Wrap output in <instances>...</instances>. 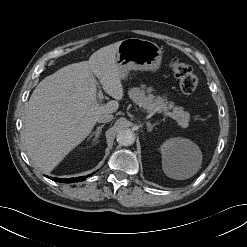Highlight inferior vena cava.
I'll return each instance as SVG.
<instances>
[{
  "mask_svg": "<svg viewBox=\"0 0 247 247\" xmlns=\"http://www.w3.org/2000/svg\"><path fill=\"white\" fill-rule=\"evenodd\" d=\"M112 119H113V115H112V114H108V113L100 114V115L97 117V121H98L99 123H107V122L112 121Z\"/></svg>",
  "mask_w": 247,
  "mask_h": 247,
  "instance_id": "602c4592",
  "label": "inferior vena cava"
}]
</instances>
